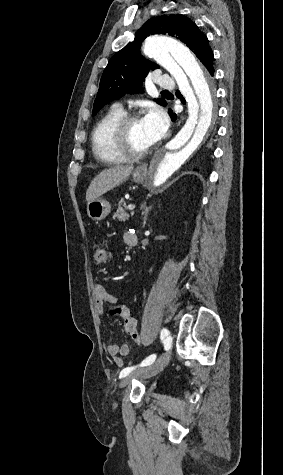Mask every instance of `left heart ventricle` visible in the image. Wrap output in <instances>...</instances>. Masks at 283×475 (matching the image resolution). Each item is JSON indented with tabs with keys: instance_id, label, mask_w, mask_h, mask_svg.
I'll return each mask as SVG.
<instances>
[{
	"instance_id": "obj_1",
	"label": "left heart ventricle",
	"mask_w": 283,
	"mask_h": 475,
	"mask_svg": "<svg viewBox=\"0 0 283 475\" xmlns=\"http://www.w3.org/2000/svg\"><path fill=\"white\" fill-rule=\"evenodd\" d=\"M149 130L145 126L143 119H137L131 126L129 143L120 144L112 142L105 147V153L110 156H129L132 153H141L153 146V142L148 137Z\"/></svg>"
}]
</instances>
